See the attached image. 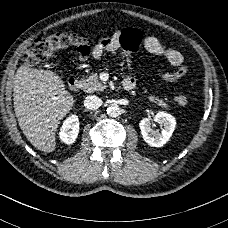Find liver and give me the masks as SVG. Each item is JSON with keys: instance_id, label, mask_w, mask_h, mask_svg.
I'll use <instances>...</instances> for the list:
<instances>
[{"instance_id": "obj_1", "label": "liver", "mask_w": 228, "mask_h": 228, "mask_svg": "<svg viewBox=\"0 0 228 228\" xmlns=\"http://www.w3.org/2000/svg\"><path fill=\"white\" fill-rule=\"evenodd\" d=\"M14 111L28 141L40 151L56 148V131L74 105L61 78L50 70L22 65L16 73Z\"/></svg>"}]
</instances>
